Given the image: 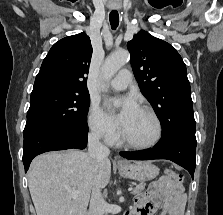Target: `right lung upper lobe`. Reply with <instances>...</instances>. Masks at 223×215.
Masks as SVG:
<instances>
[{
	"label": "right lung upper lobe",
	"mask_w": 223,
	"mask_h": 215,
	"mask_svg": "<svg viewBox=\"0 0 223 215\" xmlns=\"http://www.w3.org/2000/svg\"><path fill=\"white\" fill-rule=\"evenodd\" d=\"M91 56L90 38L85 33L59 40L43 60L32 93L89 95L85 76L88 74Z\"/></svg>",
	"instance_id": "cb5924a9"
}]
</instances>
